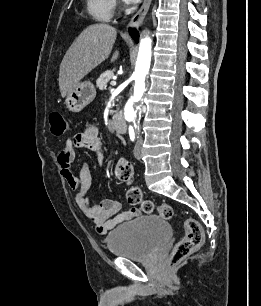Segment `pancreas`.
I'll return each instance as SVG.
<instances>
[{
	"instance_id": "pancreas-1",
	"label": "pancreas",
	"mask_w": 261,
	"mask_h": 306,
	"mask_svg": "<svg viewBox=\"0 0 261 306\" xmlns=\"http://www.w3.org/2000/svg\"><path fill=\"white\" fill-rule=\"evenodd\" d=\"M114 76L113 71L107 70L104 73L100 75V77L96 81V86L100 89H106L108 82L112 79Z\"/></svg>"
}]
</instances>
